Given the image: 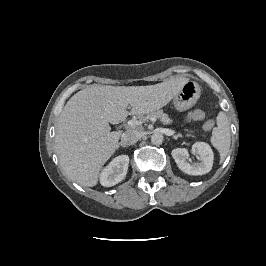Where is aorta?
Masks as SVG:
<instances>
[{
    "mask_svg": "<svg viewBox=\"0 0 266 266\" xmlns=\"http://www.w3.org/2000/svg\"><path fill=\"white\" fill-rule=\"evenodd\" d=\"M163 138L164 137L162 133L156 132L151 136V143L154 145H161L163 142Z\"/></svg>",
    "mask_w": 266,
    "mask_h": 266,
    "instance_id": "1",
    "label": "aorta"
}]
</instances>
